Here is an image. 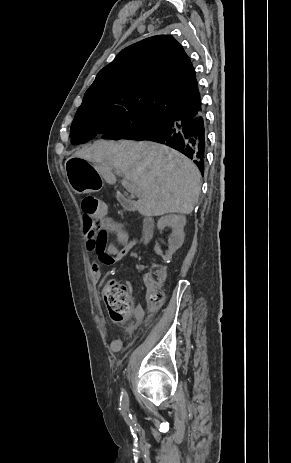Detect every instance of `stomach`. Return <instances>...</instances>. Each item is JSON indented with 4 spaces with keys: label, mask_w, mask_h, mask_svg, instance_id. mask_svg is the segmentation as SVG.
Segmentation results:
<instances>
[{
    "label": "stomach",
    "mask_w": 291,
    "mask_h": 463,
    "mask_svg": "<svg viewBox=\"0 0 291 463\" xmlns=\"http://www.w3.org/2000/svg\"><path fill=\"white\" fill-rule=\"evenodd\" d=\"M67 175L72 189L77 193L98 191L102 187L100 176L89 157H66Z\"/></svg>",
    "instance_id": "stomach-1"
}]
</instances>
